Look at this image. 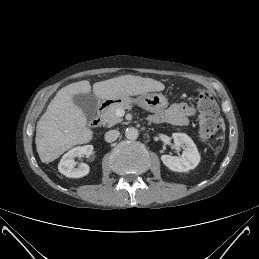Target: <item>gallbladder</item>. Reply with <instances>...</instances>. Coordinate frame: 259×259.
Here are the masks:
<instances>
[{
    "mask_svg": "<svg viewBox=\"0 0 259 259\" xmlns=\"http://www.w3.org/2000/svg\"><path fill=\"white\" fill-rule=\"evenodd\" d=\"M72 99L73 103L83 111L87 119L95 117L99 100L94 94L79 93L74 95Z\"/></svg>",
    "mask_w": 259,
    "mask_h": 259,
    "instance_id": "bac80fb5",
    "label": "gallbladder"
}]
</instances>
